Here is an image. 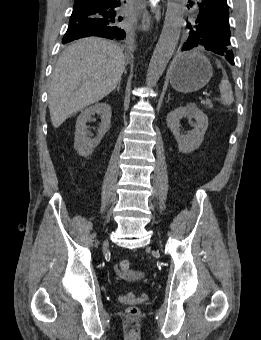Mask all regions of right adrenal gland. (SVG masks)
Instances as JSON below:
<instances>
[{
  "mask_svg": "<svg viewBox=\"0 0 261 340\" xmlns=\"http://www.w3.org/2000/svg\"><path fill=\"white\" fill-rule=\"evenodd\" d=\"M120 85H121V82L119 81L118 84H117V87H116V90L119 92L120 90Z\"/></svg>",
  "mask_w": 261,
  "mask_h": 340,
  "instance_id": "2a0ac1e0",
  "label": "right adrenal gland"
}]
</instances>
